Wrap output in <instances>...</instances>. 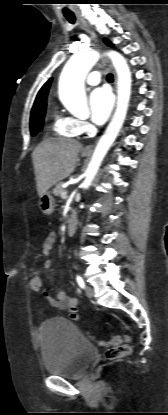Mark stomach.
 Listing matches in <instances>:
<instances>
[{
    "instance_id": "stomach-1",
    "label": "stomach",
    "mask_w": 168,
    "mask_h": 415,
    "mask_svg": "<svg viewBox=\"0 0 168 415\" xmlns=\"http://www.w3.org/2000/svg\"><path fill=\"white\" fill-rule=\"evenodd\" d=\"M84 156H87V152H83ZM55 207V200L50 193H45L40 197L39 200V209L45 215H50L53 213Z\"/></svg>"
}]
</instances>
